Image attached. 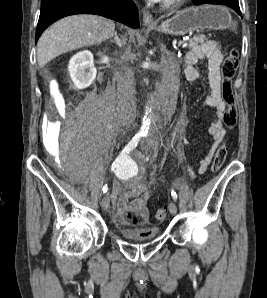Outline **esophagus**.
I'll return each mask as SVG.
<instances>
[{
	"instance_id": "obj_1",
	"label": "esophagus",
	"mask_w": 267,
	"mask_h": 298,
	"mask_svg": "<svg viewBox=\"0 0 267 298\" xmlns=\"http://www.w3.org/2000/svg\"><path fill=\"white\" fill-rule=\"evenodd\" d=\"M142 17H143V24L145 26H154L156 25V22L153 18V15L146 9H142Z\"/></svg>"
}]
</instances>
